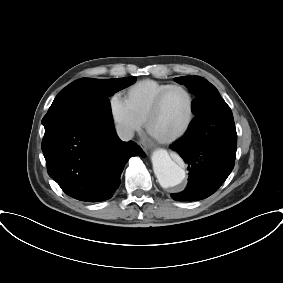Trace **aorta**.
<instances>
[{
	"label": "aorta",
	"mask_w": 283,
	"mask_h": 283,
	"mask_svg": "<svg viewBox=\"0 0 283 283\" xmlns=\"http://www.w3.org/2000/svg\"><path fill=\"white\" fill-rule=\"evenodd\" d=\"M154 173L163 188L175 187L185 178L184 169L163 149L156 150L151 157Z\"/></svg>",
	"instance_id": "762f6f07"
}]
</instances>
